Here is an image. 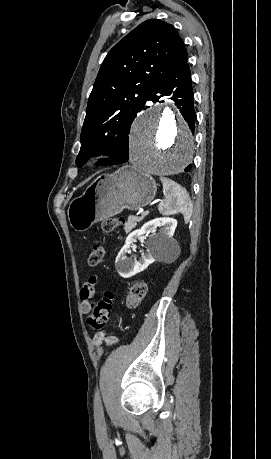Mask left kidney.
I'll return each instance as SVG.
<instances>
[{
    "label": "left kidney",
    "mask_w": 271,
    "mask_h": 459,
    "mask_svg": "<svg viewBox=\"0 0 271 459\" xmlns=\"http://www.w3.org/2000/svg\"><path fill=\"white\" fill-rule=\"evenodd\" d=\"M177 226V220L174 218H155V220H150L146 222L144 226L140 229H135L131 231L128 237H126L125 245L121 247L116 259L115 265L122 277H131L139 271H143L148 267L149 263L155 261V257H158L160 253H166V251H176V245L173 243V233ZM160 228L161 233L158 235H153L151 237L150 251L146 255H142L141 259H129L126 253L131 247L134 239L143 235V233H148L150 229Z\"/></svg>",
    "instance_id": "5707ae66"
}]
</instances>
